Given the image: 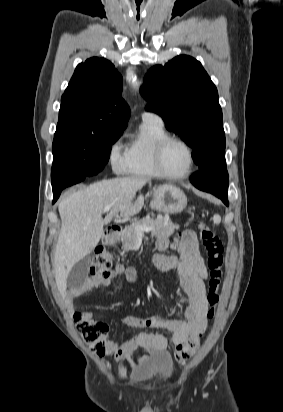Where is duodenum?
Instances as JSON below:
<instances>
[{
  "label": "duodenum",
  "instance_id": "410a0bca",
  "mask_svg": "<svg viewBox=\"0 0 283 412\" xmlns=\"http://www.w3.org/2000/svg\"><path fill=\"white\" fill-rule=\"evenodd\" d=\"M120 231L118 226H109L105 235L106 244L113 246L118 241Z\"/></svg>",
  "mask_w": 283,
  "mask_h": 412
}]
</instances>
